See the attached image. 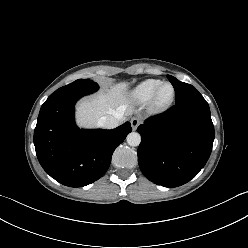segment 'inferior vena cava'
<instances>
[{
	"instance_id": "inferior-vena-cava-1",
	"label": "inferior vena cava",
	"mask_w": 248,
	"mask_h": 248,
	"mask_svg": "<svg viewBox=\"0 0 248 248\" xmlns=\"http://www.w3.org/2000/svg\"><path fill=\"white\" fill-rule=\"evenodd\" d=\"M123 115V112L117 111L114 115L103 116L98 120V125L106 129H113L119 125Z\"/></svg>"
}]
</instances>
